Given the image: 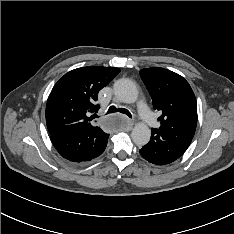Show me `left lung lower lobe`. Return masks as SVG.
<instances>
[{
	"instance_id": "obj_1",
	"label": "left lung lower lobe",
	"mask_w": 234,
	"mask_h": 234,
	"mask_svg": "<svg viewBox=\"0 0 234 234\" xmlns=\"http://www.w3.org/2000/svg\"><path fill=\"white\" fill-rule=\"evenodd\" d=\"M184 152L175 142L154 129L151 131V140L140 149L141 156L156 165L169 164Z\"/></svg>"
}]
</instances>
